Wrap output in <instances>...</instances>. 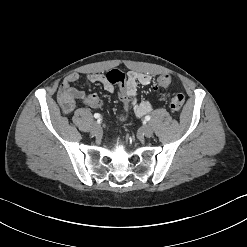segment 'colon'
<instances>
[{
	"label": "colon",
	"instance_id": "colon-1",
	"mask_svg": "<svg viewBox=\"0 0 247 247\" xmlns=\"http://www.w3.org/2000/svg\"><path fill=\"white\" fill-rule=\"evenodd\" d=\"M106 78L112 84H116L117 99L120 103V107L123 110L131 109V94L128 93L129 86L126 83V75L119 70H112L107 75ZM171 82V79L167 75L160 76L156 82V88H166ZM184 95L177 93L173 95L170 99V108L174 112H180L184 105Z\"/></svg>",
	"mask_w": 247,
	"mask_h": 247
}]
</instances>
